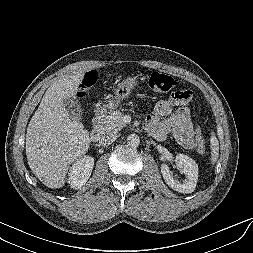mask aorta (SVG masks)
Listing matches in <instances>:
<instances>
[{"label":"aorta","instance_id":"1","mask_svg":"<svg viewBox=\"0 0 253 253\" xmlns=\"http://www.w3.org/2000/svg\"><path fill=\"white\" fill-rule=\"evenodd\" d=\"M140 144V138L137 134H130L128 137H127V145L130 146V147H138Z\"/></svg>","mask_w":253,"mask_h":253}]
</instances>
